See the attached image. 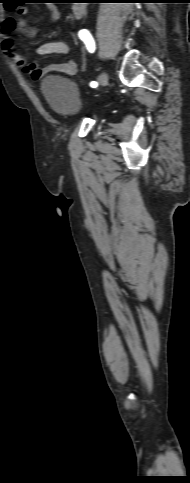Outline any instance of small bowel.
I'll use <instances>...</instances> for the list:
<instances>
[{
  "instance_id": "small-bowel-1",
  "label": "small bowel",
  "mask_w": 190,
  "mask_h": 483,
  "mask_svg": "<svg viewBox=\"0 0 190 483\" xmlns=\"http://www.w3.org/2000/svg\"><path fill=\"white\" fill-rule=\"evenodd\" d=\"M49 10L53 20L59 18V10L56 6H50ZM25 14L26 8L20 7L15 16L5 18L1 24V45L8 58L15 66L21 68L25 73L30 75L34 81H39L44 75L54 72H62L68 77L74 76L77 73V64L73 60L52 63L45 68H41L38 61L26 64L24 58L15 52L14 39L11 35L13 31L19 30L29 37H35L40 31L38 28L29 26L26 23L24 19ZM69 52L70 46L66 42L60 40L42 43L36 49V53L40 56L50 54L66 55Z\"/></svg>"
}]
</instances>
